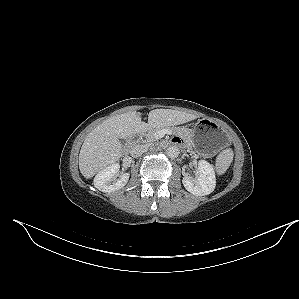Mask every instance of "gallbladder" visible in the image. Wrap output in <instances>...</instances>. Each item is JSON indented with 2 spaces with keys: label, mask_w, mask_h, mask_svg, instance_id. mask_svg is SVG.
<instances>
[{
  "label": "gallbladder",
  "mask_w": 299,
  "mask_h": 299,
  "mask_svg": "<svg viewBox=\"0 0 299 299\" xmlns=\"http://www.w3.org/2000/svg\"><path fill=\"white\" fill-rule=\"evenodd\" d=\"M121 143H122V144H125V141H124V140H121Z\"/></svg>",
  "instance_id": "bac80fb5"
}]
</instances>
